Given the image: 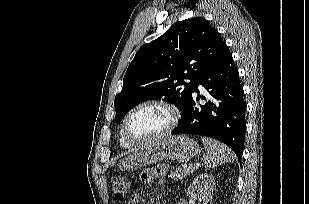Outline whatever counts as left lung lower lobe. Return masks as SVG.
<instances>
[{
  "mask_svg": "<svg viewBox=\"0 0 309 204\" xmlns=\"http://www.w3.org/2000/svg\"><path fill=\"white\" fill-rule=\"evenodd\" d=\"M198 85H202L213 97L205 105L197 101L205 97L199 95ZM188 105L181 112L179 125L172 134H197L212 137L228 145L241 160L245 141L246 104L243 88L234 60L224 49L217 62L200 77Z\"/></svg>",
  "mask_w": 309,
  "mask_h": 204,
  "instance_id": "0a47b994",
  "label": "left lung lower lobe"
}]
</instances>
